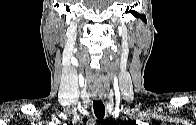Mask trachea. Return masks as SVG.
I'll use <instances>...</instances> for the list:
<instances>
[{"label": "trachea", "instance_id": "3493384b", "mask_svg": "<svg viewBox=\"0 0 196 125\" xmlns=\"http://www.w3.org/2000/svg\"><path fill=\"white\" fill-rule=\"evenodd\" d=\"M93 108L95 116L99 121H102L105 116V106L101 100L93 101Z\"/></svg>", "mask_w": 196, "mask_h": 125}]
</instances>
